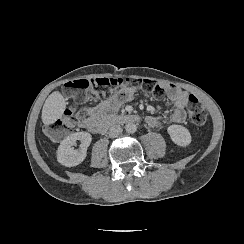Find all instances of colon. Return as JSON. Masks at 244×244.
I'll list each match as a JSON object with an SVG mask.
<instances>
[{
  "label": "colon",
  "mask_w": 244,
  "mask_h": 244,
  "mask_svg": "<svg viewBox=\"0 0 244 244\" xmlns=\"http://www.w3.org/2000/svg\"><path fill=\"white\" fill-rule=\"evenodd\" d=\"M130 84L142 86L145 92L153 93L158 99L165 95L163 89L154 85L151 80L146 79L132 80L128 77H107L91 80L88 77L82 76L77 79L69 80L64 85V94L69 99H77L79 101L74 103V112H65L55 122L45 127L46 135L50 139L69 137L75 130L79 115L87 112V103H92L98 99H106L110 97V91L113 88ZM93 88L100 91H97V94H93ZM187 113L190 122L195 125H204L207 121L206 110L203 104L195 96L189 97Z\"/></svg>",
  "instance_id": "colon-1"
}]
</instances>
